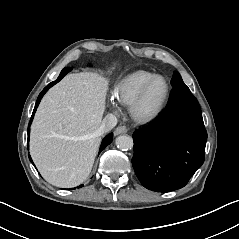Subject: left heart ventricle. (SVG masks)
I'll return each instance as SVG.
<instances>
[{
    "label": "left heart ventricle",
    "instance_id": "b2bd125f",
    "mask_svg": "<svg viewBox=\"0 0 239 239\" xmlns=\"http://www.w3.org/2000/svg\"><path fill=\"white\" fill-rule=\"evenodd\" d=\"M166 91L167 85L163 79L155 81L140 107V112L144 115L153 114L164 100Z\"/></svg>",
    "mask_w": 239,
    "mask_h": 239
}]
</instances>
